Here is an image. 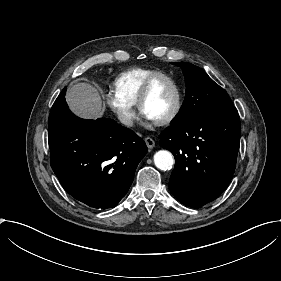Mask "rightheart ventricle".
Masks as SVG:
<instances>
[{
  "instance_id": "right-heart-ventricle-1",
  "label": "right heart ventricle",
  "mask_w": 281,
  "mask_h": 281,
  "mask_svg": "<svg viewBox=\"0 0 281 281\" xmlns=\"http://www.w3.org/2000/svg\"><path fill=\"white\" fill-rule=\"evenodd\" d=\"M163 73L166 72L156 68H134L125 71L114 80L115 92L126 103L135 105L148 79Z\"/></svg>"
}]
</instances>
